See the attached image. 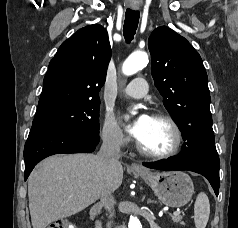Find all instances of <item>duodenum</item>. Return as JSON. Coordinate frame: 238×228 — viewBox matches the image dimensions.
Instances as JSON below:
<instances>
[{"label":"duodenum","instance_id":"1","mask_svg":"<svg viewBox=\"0 0 238 228\" xmlns=\"http://www.w3.org/2000/svg\"><path fill=\"white\" fill-rule=\"evenodd\" d=\"M101 209H102L101 205H99V204L94 205L90 210L91 219H94L101 212ZM96 228H102L101 223L97 222L96 223ZM119 228H126V227L121 226Z\"/></svg>","mask_w":238,"mask_h":228}]
</instances>
